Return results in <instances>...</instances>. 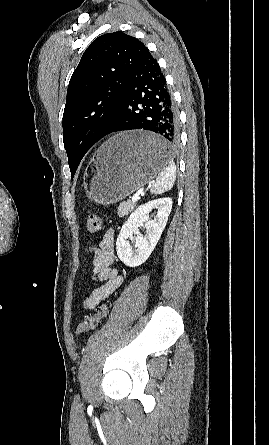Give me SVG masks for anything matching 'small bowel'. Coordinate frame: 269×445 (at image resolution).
I'll list each match as a JSON object with an SVG mask.
<instances>
[{
	"label": "small bowel",
	"mask_w": 269,
	"mask_h": 445,
	"mask_svg": "<svg viewBox=\"0 0 269 445\" xmlns=\"http://www.w3.org/2000/svg\"><path fill=\"white\" fill-rule=\"evenodd\" d=\"M89 253L92 255L93 279L100 285L83 302V307L88 310L110 297L123 282V277L113 267L115 253L112 230L104 234L97 247H90Z\"/></svg>",
	"instance_id": "c3829d8e"
}]
</instances>
